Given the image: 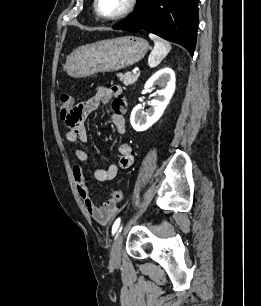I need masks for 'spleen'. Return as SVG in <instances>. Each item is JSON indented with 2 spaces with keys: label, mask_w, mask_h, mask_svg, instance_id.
I'll return each instance as SVG.
<instances>
[{
  "label": "spleen",
  "mask_w": 261,
  "mask_h": 306,
  "mask_svg": "<svg viewBox=\"0 0 261 306\" xmlns=\"http://www.w3.org/2000/svg\"><path fill=\"white\" fill-rule=\"evenodd\" d=\"M149 37L154 42V48L151 51L148 58V65L154 68L160 64V62L166 57V55L171 50V45L169 42L161 39L157 35L149 34Z\"/></svg>",
  "instance_id": "spleen-1"
}]
</instances>
